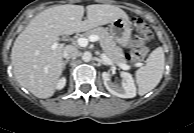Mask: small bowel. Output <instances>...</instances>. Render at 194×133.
Instances as JSON below:
<instances>
[{
  "label": "small bowel",
  "instance_id": "1",
  "mask_svg": "<svg viewBox=\"0 0 194 133\" xmlns=\"http://www.w3.org/2000/svg\"><path fill=\"white\" fill-rule=\"evenodd\" d=\"M132 45L136 46V50L141 54H146L148 52V47L144 45L140 40H133Z\"/></svg>",
  "mask_w": 194,
  "mask_h": 133
}]
</instances>
